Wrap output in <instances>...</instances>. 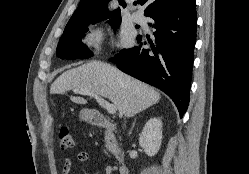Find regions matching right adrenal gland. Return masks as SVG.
I'll use <instances>...</instances> for the list:
<instances>
[{"label":"right adrenal gland","instance_id":"right-adrenal-gland-1","mask_svg":"<svg viewBox=\"0 0 249 174\" xmlns=\"http://www.w3.org/2000/svg\"><path fill=\"white\" fill-rule=\"evenodd\" d=\"M135 121H136V119H135ZM135 121H134L133 126H132V128H131V130H130V134H131V132H132V130H133V128H134Z\"/></svg>","mask_w":249,"mask_h":174}]
</instances>
